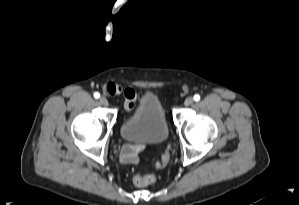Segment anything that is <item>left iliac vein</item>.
<instances>
[{
	"mask_svg": "<svg viewBox=\"0 0 299 205\" xmlns=\"http://www.w3.org/2000/svg\"><path fill=\"white\" fill-rule=\"evenodd\" d=\"M193 102H194L193 97L189 96V97H187V98L185 99V101H184V105H185V106H190L191 104H193Z\"/></svg>",
	"mask_w": 299,
	"mask_h": 205,
	"instance_id": "left-iliac-vein-1",
	"label": "left iliac vein"
}]
</instances>
